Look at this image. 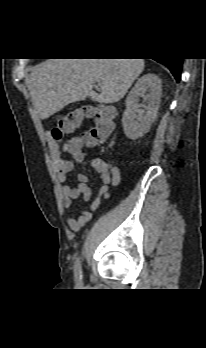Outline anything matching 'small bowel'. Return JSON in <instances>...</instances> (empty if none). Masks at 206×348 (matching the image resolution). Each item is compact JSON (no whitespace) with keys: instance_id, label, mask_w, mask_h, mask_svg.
Wrapping results in <instances>:
<instances>
[{"instance_id":"obj_1","label":"small bowel","mask_w":206,"mask_h":348,"mask_svg":"<svg viewBox=\"0 0 206 348\" xmlns=\"http://www.w3.org/2000/svg\"><path fill=\"white\" fill-rule=\"evenodd\" d=\"M49 147L57 178L61 183H65L68 179V173L73 168V162L63 156L65 152H69L67 146L61 147L57 142L51 140ZM75 156L77 160H82L81 154ZM89 164L99 174L102 183L89 210L80 209L77 211L73 208L74 201L78 199L89 201L91 198V189L88 186L89 177L86 174H78L75 186L64 185L62 187L63 204L68 210V225L74 232H78L91 220L92 212L99 207L102 200L110 197L111 188L117 186L121 180L120 170L117 166L100 158H91Z\"/></svg>"}]
</instances>
